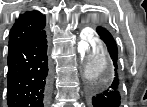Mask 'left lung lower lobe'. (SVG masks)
I'll list each match as a JSON object with an SVG mask.
<instances>
[{
	"label": "left lung lower lobe",
	"instance_id": "0a47b994",
	"mask_svg": "<svg viewBox=\"0 0 147 107\" xmlns=\"http://www.w3.org/2000/svg\"><path fill=\"white\" fill-rule=\"evenodd\" d=\"M97 33L107 47L114 72L107 82L88 84L87 100L89 107H121L120 75L118 64V49L110 32L104 27H98Z\"/></svg>",
	"mask_w": 147,
	"mask_h": 107
}]
</instances>
